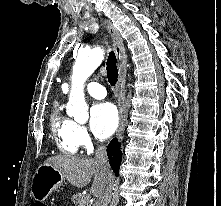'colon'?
Segmentation results:
<instances>
[{"mask_svg": "<svg viewBox=\"0 0 221 206\" xmlns=\"http://www.w3.org/2000/svg\"><path fill=\"white\" fill-rule=\"evenodd\" d=\"M32 206H46V205L43 203L37 202V203L32 204Z\"/></svg>", "mask_w": 221, "mask_h": 206, "instance_id": "colon-1", "label": "colon"}]
</instances>
